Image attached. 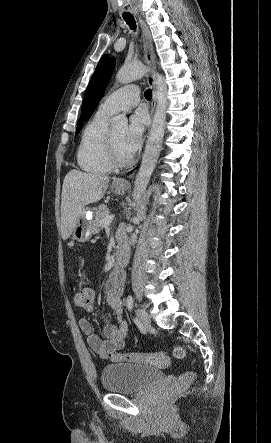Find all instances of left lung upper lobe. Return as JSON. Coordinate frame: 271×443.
<instances>
[{"label":"left lung upper lobe","instance_id":"left-lung-upper-lobe-1","mask_svg":"<svg viewBox=\"0 0 271 443\" xmlns=\"http://www.w3.org/2000/svg\"><path fill=\"white\" fill-rule=\"evenodd\" d=\"M114 65L115 58L109 57V55H103L98 62L95 72L84 94L82 114L77 124L76 134L82 128V122L87 121L91 117L98 102L103 97L109 79L112 75Z\"/></svg>","mask_w":271,"mask_h":443}]
</instances>
